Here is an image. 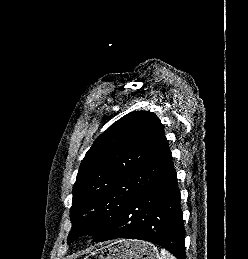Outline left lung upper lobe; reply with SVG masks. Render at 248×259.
Returning <instances> with one entry per match:
<instances>
[{"label": "left lung upper lobe", "instance_id": "left-lung-upper-lobe-1", "mask_svg": "<svg viewBox=\"0 0 248 259\" xmlns=\"http://www.w3.org/2000/svg\"><path fill=\"white\" fill-rule=\"evenodd\" d=\"M163 125L149 111H135L112 124L81 162L73 186L68 244L95 237L172 165Z\"/></svg>", "mask_w": 248, "mask_h": 259}]
</instances>
